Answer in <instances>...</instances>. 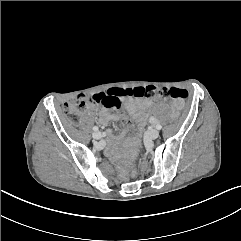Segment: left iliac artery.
<instances>
[{
    "label": "left iliac artery",
    "mask_w": 241,
    "mask_h": 241,
    "mask_svg": "<svg viewBox=\"0 0 241 241\" xmlns=\"http://www.w3.org/2000/svg\"><path fill=\"white\" fill-rule=\"evenodd\" d=\"M156 129H158V130H161L162 129V126H161V124H156Z\"/></svg>",
    "instance_id": "left-iliac-artery-1"
}]
</instances>
